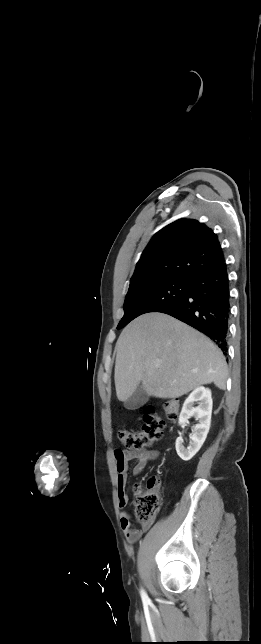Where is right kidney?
<instances>
[{
  "mask_svg": "<svg viewBox=\"0 0 261 644\" xmlns=\"http://www.w3.org/2000/svg\"><path fill=\"white\" fill-rule=\"evenodd\" d=\"M196 403L198 406L194 407ZM212 404L211 391L204 387L196 388L185 400L179 416V425L186 426L191 417H194L199 423L194 427L192 441L187 448L183 445L182 437H178L176 440V451L182 460H190L202 447L210 428Z\"/></svg>",
  "mask_w": 261,
  "mask_h": 644,
  "instance_id": "obj_1",
  "label": "right kidney"
}]
</instances>
